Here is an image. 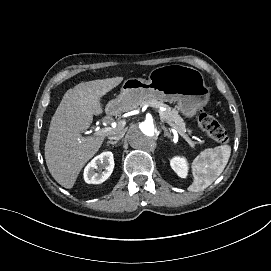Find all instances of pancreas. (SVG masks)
<instances>
[{"mask_svg":"<svg viewBox=\"0 0 271 271\" xmlns=\"http://www.w3.org/2000/svg\"><path fill=\"white\" fill-rule=\"evenodd\" d=\"M159 106H162V107L165 108L164 111L159 112L160 117L163 116V117L167 118L168 120H170L171 122H173L174 125L178 126L184 132V134L186 135L185 122H184L183 118L178 114V111L175 110V109H171L169 106H167L165 104H162V103L154 105V107H156V108H159ZM188 132L190 133L191 131L188 130Z\"/></svg>","mask_w":271,"mask_h":271,"instance_id":"1","label":"pancreas"}]
</instances>
